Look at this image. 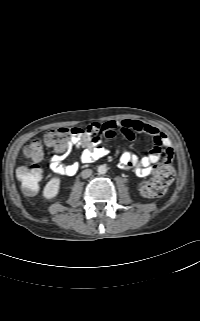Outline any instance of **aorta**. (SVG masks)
I'll list each match as a JSON object with an SVG mask.
<instances>
[{"label": "aorta", "instance_id": "762f6f07", "mask_svg": "<svg viewBox=\"0 0 200 321\" xmlns=\"http://www.w3.org/2000/svg\"><path fill=\"white\" fill-rule=\"evenodd\" d=\"M97 171L99 174L103 175L107 172V167L105 165H100L98 166Z\"/></svg>", "mask_w": 200, "mask_h": 321}]
</instances>
